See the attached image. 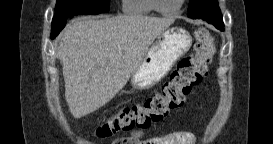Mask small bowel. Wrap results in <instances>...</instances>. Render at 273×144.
Listing matches in <instances>:
<instances>
[{
  "label": "small bowel",
  "mask_w": 273,
  "mask_h": 144,
  "mask_svg": "<svg viewBox=\"0 0 273 144\" xmlns=\"http://www.w3.org/2000/svg\"><path fill=\"white\" fill-rule=\"evenodd\" d=\"M195 135L189 131L166 132L148 137L144 130H134L126 137L116 139L113 144H193Z\"/></svg>",
  "instance_id": "1"
}]
</instances>
